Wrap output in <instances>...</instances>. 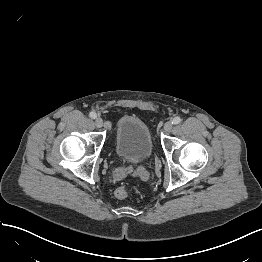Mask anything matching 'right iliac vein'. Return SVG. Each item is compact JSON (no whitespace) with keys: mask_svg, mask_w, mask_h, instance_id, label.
<instances>
[{"mask_svg":"<svg viewBox=\"0 0 262 262\" xmlns=\"http://www.w3.org/2000/svg\"><path fill=\"white\" fill-rule=\"evenodd\" d=\"M95 125L98 127V128H101L103 126V120L101 117H97L95 119Z\"/></svg>","mask_w":262,"mask_h":262,"instance_id":"63e3f726","label":"right iliac vein"}]
</instances>
